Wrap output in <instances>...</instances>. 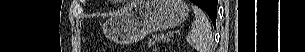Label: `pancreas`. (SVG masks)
Segmentation results:
<instances>
[{
	"label": "pancreas",
	"mask_w": 305,
	"mask_h": 52,
	"mask_svg": "<svg viewBox=\"0 0 305 52\" xmlns=\"http://www.w3.org/2000/svg\"><path fill=\"white\" fill-rule=\"evenodd\" d=\"M169 38L166 37L165 35H154L152 39L149 40V45H153L155 43H160V42H168Z\"/></svg>",
	"instance_id": "obj_1"
}]
</instances>
